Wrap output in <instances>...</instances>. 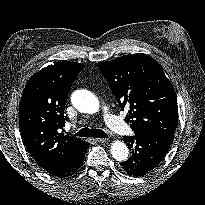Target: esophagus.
<instances>
[{"mask_svg": "<svg viewBox=\"0 0 205 205\" xmlns=\"http://www.w3.org/2000/svg\"><path fill=\"white\" fill-rule=\"evenodd\" d=\"M96 141L98 142V143H107L109 140L108 139H101V138H99V139H96Z\"/></svg>", "mask_w": 205, "mask_h": 205, "instance_id": "1", "label": "esophagus"}]
</instances>
